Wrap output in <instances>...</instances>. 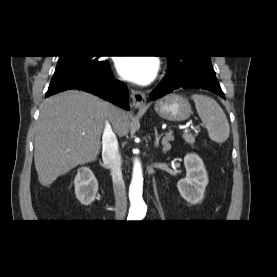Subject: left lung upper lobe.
Instances as JSON below:
<instances>
[{
    "instance_id": "left-lung-upper-lobe-1",
    "label": "left lung upper lobe",
    "mask_w": 277,
    "mask_h": 277,
    "mask_svg": "<svg viewBox=\"0 0 277 277\" xmlns=\"http://www.w3.org/2000/svg\"><path fill=\"white\" fill-rule=\"evenodd\" d=\"M169 72L213 69L210 56H166Z\"/></svg>"
}]
</instances>
